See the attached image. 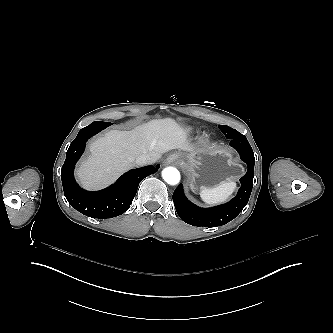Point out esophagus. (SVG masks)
I'll list each match as a JSON object with an SVG mask.
<instances>
[{
  "label": "esophagus",
  "mask_w": 333,
  "mask_h": 333,
  "mask_svg": "<svg viewBox=\"0 0 333 333\" xmlns=\"http://www.w3.org/2000/svg\"><path fill=\"white\" fill-rule=\"evenodd\" d=\"M179 158V153L174 152L172 154H170L167 158H166V162L167 163H173L175 160H177Z\"/></svg>",
  "instance_id": "esophagus-1"
}]
</instances>
